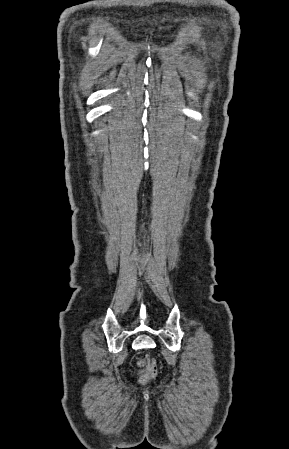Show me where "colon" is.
Instances as JSON below:
<instances>
[{
    "label": "colon",
    "mask_w": 289,
    "mask_h": 449,
    "mask_svg": "<svg viewBox=\"0 0 289 449\" xmlns=\"http://www.w3.org/2000/svg\"><path fill=\"white\" fill-rule=\"evenodd\" d=\"M158 372V365L155 359L148 358L146 365L141 373L140 379L142 382H148L156 377Z\"/></svg>",
    "instance_id": "5ec220e1"
}]
</instances>
